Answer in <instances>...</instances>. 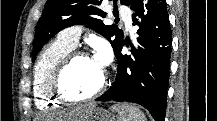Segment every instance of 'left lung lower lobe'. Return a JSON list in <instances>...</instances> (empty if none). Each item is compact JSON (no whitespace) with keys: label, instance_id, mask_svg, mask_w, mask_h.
<instances>
[{"label":"left lung lower lobe","instance_id":"1","mask_svg":"<svg viewBox=\"0 0 217 121\" xmlns=\"http://www.w3.org/2000/svg\"><path fill=\"white\" fill-rule=\"evenodd\" d=\"M165 0H132L133 25L139 27L137 46L122 55L123 40L115 56L117 75L98 101L132 102L145 107L156 121H164L171 57L172 34Z\"/></svg>","mask_w":217,"mask_h":121}]
</instances>
